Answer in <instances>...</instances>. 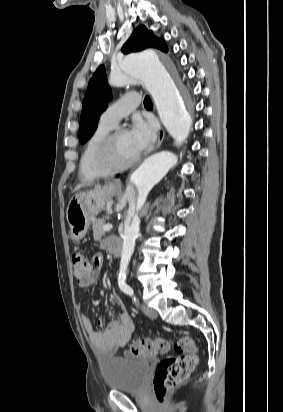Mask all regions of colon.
I'll use <instances>...</instances> for the list:
<instances>
[{
	"label": "colon",
	"mask_w": 283,
	"mask_h": 412,
	"mask_svg": "<svg viewBox=\"0 0 283 412\" xmlns=\"http://www.w3.org/2000/svg\"><path fill=\"white\" fill-rule=\"evenodd\" d=\"M74 277L81 283L86 281L91 270L100 263L98 257H86L77 252L72 257ZM173 345L179 354L167 357L157 366L153 378V389L158 403L163 404L168 392L185 381L199 361L198 350L193 338L184 335L169 341L164 338L135 340L132 342V353L138 357L161 355Z\"/></svg>",
	"instance_id": "colon-1"
}]
</instances>
